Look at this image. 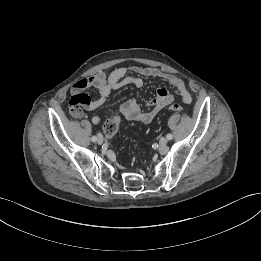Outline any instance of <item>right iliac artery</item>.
<instances>
[{"label":"right iliac artery","instance_id":"1","mask_svg":"<svg viewBox=\"0 0 261 261\" xmlns=\"http://www.w3.org/2000/svg\"><path fill=\"white\" fill-rule=\"evenodd\" d=\"M91 140H92L93 142H95V141L97 140V137H96V136H93V137L91 138Z\"/></svg>","mask_w":261,"mask_h":261}]
</instances>
